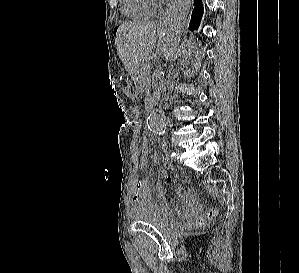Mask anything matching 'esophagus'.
Instances as JSON below:
<instances>
[{"mask_svg": "<svg viewBox=\"0 0 299 273\" xmlns=\"http://www.w3.org/2000/svg\"><path fill=\"white\" fill-rule=\"evenodd\" d=\"M169 7L170 5L165 9V11L160 15L159 19H158V23L159 24H163L166 22L167 20V16H168V12H169Z\"/></svg>", "mask_w": 299, "mask_h": 273, "instance_id": "34e87169", "label": "esophagus"}]
</instances>
